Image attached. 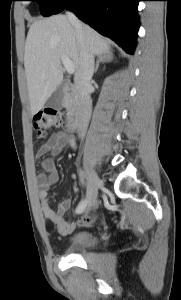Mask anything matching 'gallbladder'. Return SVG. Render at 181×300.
I'll use <instances>...</instances> for the list:
<instances>
[{
	"label": "gallbladder",
	"mask_w": 181,
	"mask_h": 300,
	"mask_svg": "<svg viewBox=\"0 0 181 300\" xmlns=\"http://www.w3.org/2000/svg\"><path fill=\"white\" fill-rule=\"evenodd\" d=\"M64 83H61L45 102L46 108L60 110L63 106Z\"/></svg>",
	"instance_id": "bac80fb5"
}]
</instances>
